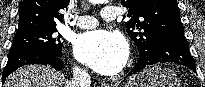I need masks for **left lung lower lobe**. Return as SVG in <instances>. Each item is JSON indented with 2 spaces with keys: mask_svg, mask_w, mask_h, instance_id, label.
Returning <instances> with one entry per match:
<instances>
[{
  "mask_svg": "<svg viewBox=\"0 0 205 87\" xmlns=\"http://www.w3.org/2000/svg\"><path fill=\"white\" fill-rule=\"evenodd\" d=\"M166 62H175L193 71L196 70L194 59L189 52V45L184 36V28L171 30L161 36L154 51L149 55L139 57L127 77L139 72L147 65Z\"/></svg>",
  "mask_w": 205,
  "mask_h": 87,
  "instance_id": "1",
  "label": "left lung lower lobe"
}]
</instances>
